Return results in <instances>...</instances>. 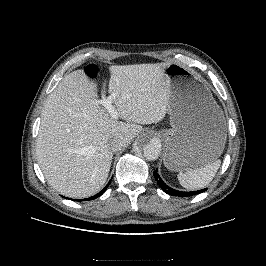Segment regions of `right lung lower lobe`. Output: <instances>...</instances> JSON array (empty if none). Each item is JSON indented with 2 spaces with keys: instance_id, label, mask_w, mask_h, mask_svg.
<instances>
[{
  "instance_id": "98d812e1",
  "label": "right lung lower lobe",
  "mask_w": 266,
  "mask_h": 266,
  "mask_svg": "<svg viewBox=\"0 0 266 266\" xmlns=\"http://www.w3.org/2000/svg\"><path fill=\"white\" fill-rule=\"evenodd\" d=\"M110 182H111V181H110ZM110 182H109V183L107 184V186H106L103 190H101L98 194H96V195H94V196H92V197H90V198L84 199V200H92V199H95V198L101 196V195L106 191V189H107V187L109 186ZM77 201H78V200H77ZM81 201H82V200H81Z\"/></svg>"
}]
</instances>
